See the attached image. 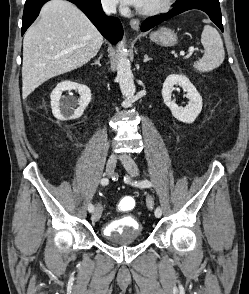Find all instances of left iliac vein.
Here are the masks:
<instances>
[{
  "mask_svg": "<svg viewBox=\"0 0 249 294\" xmlns=\"http://www.w3.org/2000/svg\"><path fill=\"white\" fill-rule=\"evenodd\" d=\"M120 160H121L123 166L125 167V169L128 171V173L131 176L138 175V172H139L138 166L130 156L123 155L120 157ZM146 202H147V207L149 209H152L154 207V200H153L152 196L148 195Z\"/></svg>",
  "mask_w": 249,
  "mask_h": 294,
  "instance_id": "1",
  "label": "left iliac vein"
}]
</instances>
